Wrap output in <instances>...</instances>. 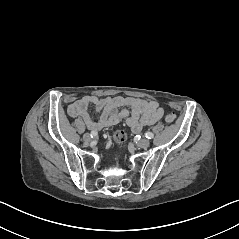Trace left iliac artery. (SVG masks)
Wrapping results in <instances>:
<instances>
[{"label": "left iliac artery", "mask_w": 239, "mask_h": 239, "mask_svg": "<svg viewBox=\"0 0 239 239\" xmlns=\"http://www.w3.org/2000/svg\"><path fill=\"white\" fill-rule=\"evenodd\" d=\"M145 136H146V138H148V139H152V138L154 137L153 133L150 132V131L146 132V133H145Z\"/></svg>", "instance_id": "obj_1"}]
</instances>
